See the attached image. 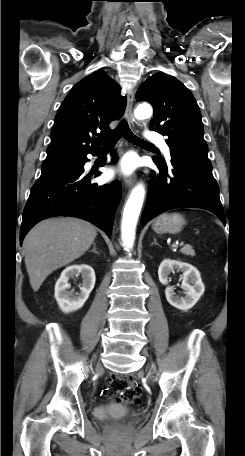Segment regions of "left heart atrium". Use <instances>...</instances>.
Masks as SVG:
<instances>
[{
    "label": "left heart atrium",
    "mask_w": 245,
    "mask_h": 456,
    "mask_svg": "<svg viewBox=\"0 0 245 456\" xmlns=\"http://www.w3.org/2000/svg\"><path fill=\"white\" fill-rule=\"evenodd\" d=\"M136 167V162L132 157H125L119 164L117 171L128 175L133 172Z\"/></svg>",
    "instance_id": "left-heart-atrium-1"
}]
</instances>
